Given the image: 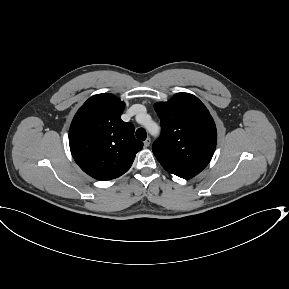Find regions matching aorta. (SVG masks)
I'll return each instance as SVG.
<instances>
[{"label": "aorta", "instance_id": "762f6f07", "mask_svg": "<svg viewBox=\"0 0 289 289\" xmlns=\"http://www.w3.org/2000/svg\"><path fill=\"white\" fill-rule=\"evenodd\" d=\"M144 125L152 135H155L158 132V125L153 121H146L144 122Z\"/></svg>", "mask_w": 289, "mask_h": 289}]
</instances>
